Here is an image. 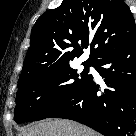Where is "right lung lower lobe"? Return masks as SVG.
Listing matches in <instances>:
<instances>
[{"label":"right lung lower lobe","mask_w":136,"mask_h":136,"mask_svg":"<svg viewBox=\"0 0 136 136\" xmlns=\"http://www.w3.org/2000/svg\"><path fill=\"white\" fill-rule=\"evenodd\" d=\"M92 64L107 88L101 89L92 77L74 98L47 118L71 119L105 136H134L136 36L103 53Z\"/></svg>","instance_id":"1"}]
</instances>
